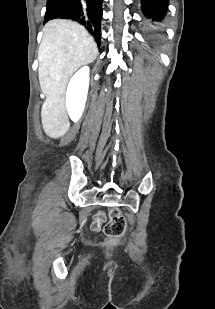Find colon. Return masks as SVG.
<instances>
[{"mask_svg":"<svg viewBox=\"0 0 215 309\" xmlns=\"http://www.w3.org/2000/svg\"><path fill=\"white\" fill-rule=\"evenodd\" d=\"M126 229V220L119 214L118 211H114L110 216L108 222L104 226V233L106 236L115 239L120 237Z\"/></svg>","mask_w":215,"mask_h":309,"instance_id":"1","label":"colon"}]
</instances>
